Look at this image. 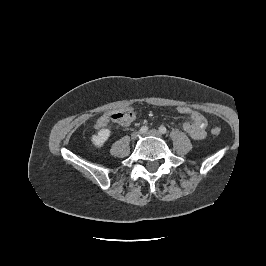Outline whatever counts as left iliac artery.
I'll return each mask as SVG.
<instances>
[{"mask_svg": "<svg viewBox=\"0 0 266 266\" xmlns=\"http://www.w3.org/2000/svg\"><path fill=\"white\" fill-rule=\"evenodd\" d=\"M159 131H160V133L165 134L167 132V129L164 126H160Z\"/></svg>", "mask_w": 266, "mask_h": 266, "instance_id": "44dca946", "label": "left iliac artery"}]
</instances>
